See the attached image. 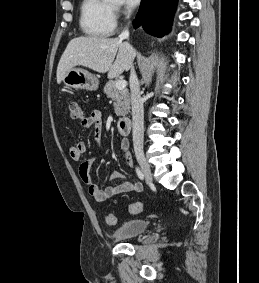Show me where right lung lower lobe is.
Instances as JSON below:
<instances>
[{"instance_id": "1", "label": "right lung lower lobe", "mask_w": 259, "mask_h": 283, "mask_svg": "<svg viewBox=\"0 0 259 283\" xmlns=\"http://www.w3.org/2000/svg\"><path fill=\"white\" fill-rule=\"evenodd\" d=\"M178 0H142L134 27L157 37L169 32Z\"/></svg>"}]
</instances>
